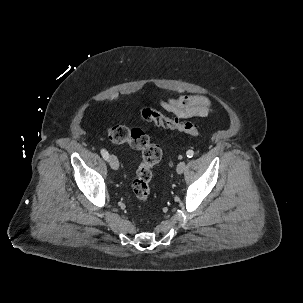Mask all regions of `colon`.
<instances>
[{"label":"colon","mask_w":303,"mask_h":303,"mask_svg":"<svg viewBox=\"0 0 303 303\" xmlns=\"http://www.w3.org/2000/svg\"><path fill=\"white\" fill-rule=\"evenodd\" d=\"M140 114L145 121L157 126L180 131L192 137L199 135V130L194 123L169 118L153 108H143ZM105 133L114 143H128L141 152L142 163L138 167L136 177L132 182V190L140 201L146 202L150 196L152 168L162 158L161 147L151 143L149 136L139 128L129 129L122 125H112L106 128Z\"/></svg>","instance_id":"colon-1"}]
</instances>
